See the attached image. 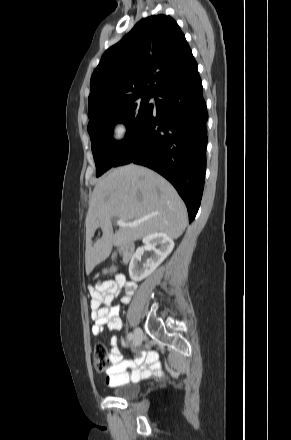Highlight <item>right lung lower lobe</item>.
I'll list each match as a JSON object with an SVG mask.
<instances>
[{
	"label": "right lung lower lobe",
	"instance_id": "1",
	"mask_svg": "<svg viewBox=\"0 0 291 440\" xmlns=\"http://www.w3.org/2000/svg\"><path fill=\"white\" fill-rule=\"evenodd\" d=\"M202 90L197 67L163 86L154 95L156 109L113 164H140L164 176L184 200L189 222L199 209L206 172L208 113Z\"/></svg>",
	"mask_w": 291,
	"mask_h": 440
}]
</instances>
